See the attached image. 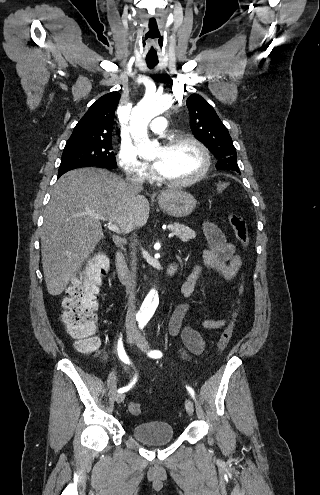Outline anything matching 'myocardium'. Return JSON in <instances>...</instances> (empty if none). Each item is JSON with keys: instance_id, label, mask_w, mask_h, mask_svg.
Returning a JSON list of instances; mask_svg holds the SVG:
<instances>
[{"instance_id": "f54148a6", "label": "myocardium", "mask_w": 320, "mask_h": 495, "mask_svg": "<svg viewBox=\"0 0 320 495\" xmlns=\"http://www.w3.org/2000/svg\"><path fill=\"white\" fill-rule=\"evenodd\" d=\"M183 143L191 144L192 146H194L199 151V153L201 154V157H202V168L195 175H193L187 179H183V180H174V179H170L168 177L161 175V180L163 182L171 185V186L182 187V186H189V185L195 184V183L199 182L200 180H202L207 175V173L210 169V166H211V157H210L209 151L199 140H197L194 137H191V136H174V137H171L166 142L165 147L170 148V147H173V146H176L179 144H183Z\"/></svg>"}]
</instances>
